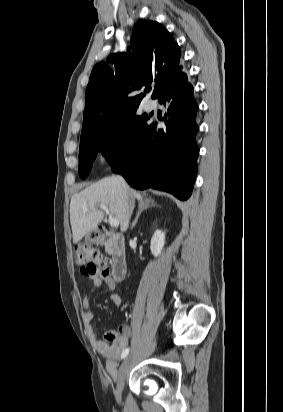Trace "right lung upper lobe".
I'll list each match as a JSON object with an SVG mask.
<instances>
[{"instance_id":"cb5924a9","label":"right lung upper lobe","mask_w":283,"mask_h":412,"mask_svg":"<svg viewBox=\"0 0 283 412\" xmlns=\"http://www.w3.org/2000/svg\"><path fill=\"white\" fill-rule=\"evenodd\" d=\"M132 46L126 53L112 54L98 63L86 89V106L81 138L117 126L138 108L145 93L132 95L155 85L152 98H158L168 85L187 79L180 59L181 50L172 35L159 23L139 20L133 28Z\"/></svg>"}]
</instances>
